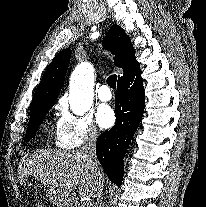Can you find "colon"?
<instances>
[{"instance_id":"obj_1","label":"colon","mask_w":206,"mask_h":207,"mask_svg":"<svg viewBox=\"0 0 206 207\" xmlns=\"http://www.w3.org/2000/svg\"><path fill=\"white\" fill-rule=\"evenodd\" d=\"M37 207H44L43 205H38Z\"/></svg>"}]
</instances>
